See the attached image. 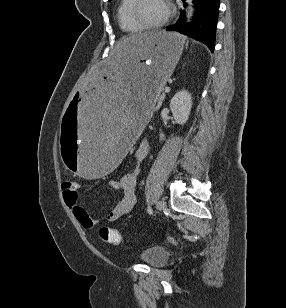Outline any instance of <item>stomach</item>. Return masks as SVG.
I'll list each match as a JSON object with an SVG mask.
<instances>
[{
    "instance_id": "0dacf381",
    "label": "stomach",
    "mask_w": 286,
    "mask_h": 308,
    "mask_svg": "<svg viewBox=\"0 0 286 308\" xmlns=\"http://www.w3.org/2000/svg\"><path fill=\"white\" fill-rule=\"evenodd\" d=\"M185 38L177 33L154 32L124 36L111 55L99 60L82 91L71 97L60 118L63 164L75 177H112L137 132L151 119V107L181 56Z\"/></svg>"
}]
</instances>
